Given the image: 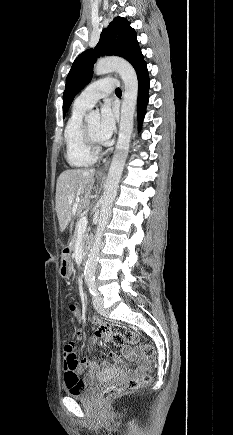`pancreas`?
I'll return each instance as SVG.
<instances>
[{
  "label": "pancreas",
  "mask_w": 233,
  "mask_h": 435,
  "mask_svg": "<svg viewBox=\"0 0 233 435\" xmlns=\"http://www.w3.org/2000/svg\"><path fill=\"white\" fill-rule=\"evenodd\" d=\"M78 235H79L78 227L76 226L75 232H74V235H73V239H72V243H71L72 250H74V248H75V243H76ZM88 239H89L88 232L85 230V232L82 235V247H83V250H84V255L87 253V245L89 243Z\"/></svg>",
  "instance_id": "1"
}]
</instances>
